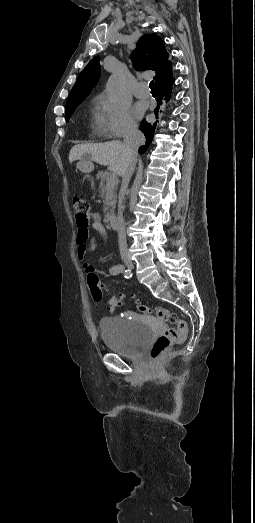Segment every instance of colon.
<instances>
[{
    "label": "colon",
    "instance_id": "obj_1",
    "mask_svg": "<svg viewBox=\"0 0 255 523\" xmlns=\"http://www.w3.org/2000/svg\"><path fill=\"white\" fill-rule=\"evenodd\" d=\"M73 207L76 213L77 224L86 225L88 223V214L90 211L89 203L81 197H75L73 198ZM87 283L93 299L95 301H102L104 299V294L97 274H88ZM107 304L112 309H115L124 306L126 301L123 296L112 295L107 298ZM139 308L142 311L152 313L157 319L169 325L161 331L152 344L151 356L153 358L159 357L171 345L181 344L185 341L188 333L187 324L177 313L160 306L148 308L141 305Z\"/></svg>",
    "mask_w": 255,
    "mask_h": 523
}]
</instances>
